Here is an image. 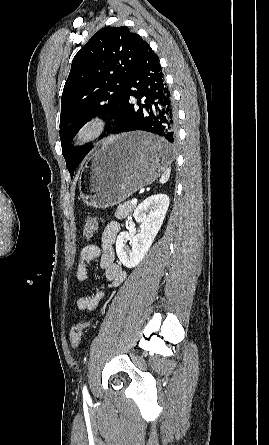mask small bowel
<instances>
[{
  "instance_id": "obj_1",
  "label": "small bowel",
  "mask_w": 269,
  "mask_h": 445,
  "mask_svg": "<svg viewBox=\"0 0 269 445\" xmlns=\"http://www.w3.org/2000/svg\"><path fill=\"white\" fill-rule=\"evenodd\" d=\"M119 232L120 225L117 222H109L102 232L101 245L90 244L81 250L76 272L77 280L85 281L88 276L87 263L99 260V266L108 281L107 286L95 289L89 296L78 298L77 307L82 311H95L100 302L107 297L109 289L121 285L126 278V273L115 261L114 244Z\"/></svg>"
}]
</instances>
